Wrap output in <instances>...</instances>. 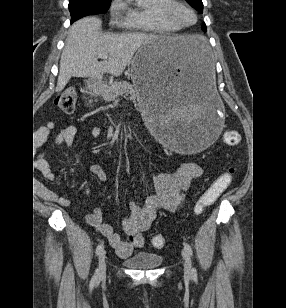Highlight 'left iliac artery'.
<instances>
[{"label":"left iliac artery","mask_w":286,"mask_h":308,"mask_svg":"<svg viewBox=\"0 0 286 308\" xmlns=\"http://www.w3.org/2000/svg\"><path fill=\"white\" fill-rule=\"evenodd\" d=\"M184 248L188 251V253L193 256V251L191 246L188 243H184ZM193 273L196 274V269L193 268Z\"/></svg>","instance_id":"1"}]
</instances>
